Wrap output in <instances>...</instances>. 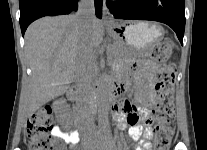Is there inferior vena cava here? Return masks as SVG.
I'll use <instances>...</instances> for the list:
<instances>
[{
  "instance_id": "inferior-vena-cava-1",
  "label": "inferior vena cava",
  "mask_w": 207,
  "mask_h": 150,
  "mask_svg": "<svg viewBox=\"0 0 207 150\" xmlns=\"http://www.w3.org/2000/svg\"><path fill=\"white\" fill-rule=\"evenodd\" d=\"M77 21L83 30L82 44L77 61L76 77L82 97L91 91L92 70L94 64V48L88 34L95 19L94 0H81L76 13Z\"/></svg>"
}]
</instances>
